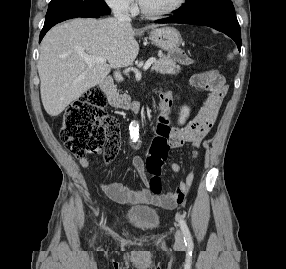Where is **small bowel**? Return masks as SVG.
Masks as SVG:
<instances>
[{
  "instance_id": "obj_1",
  "label": "small bowel",
  "mask_w": 286,
  "mask_h": 269,
  "mask_svg": "<svg viewBox=\"0 0 286 269\" xmlns=\"http://www.w3.org/2000/svg\"><path fill=\"white\" fill-rule=\"evenodd\" d=\"M204 102V101H203ZM197 109V113L190 121L188 126L182 129H172L168 134V139L171 142L172 148H180L189 145L192 148V159L197 157V149L200 147L203 138L213 128L219 110H202V105ZM172 106L171 93L166 91L162 94L160 103V111H167L169 113ZM80 165L87 168L90 165L88 159L83 158L80 160ZM133 166L144 185L148 184L146 176V166L144 159L140 156H135L133 159ZM170 169L173 172H179L181 166L178 163H171ZM194 180L193 169L186 175L185 179L180 183L177 190L165 195H154L147 188L145 189H132L116 182H108L106 180L100 181L102 190L113 200L121 203H134V204H152L166 209H175L180 206L183 201L181 199L182 193L186 194Z\"/></svg>"
}]
</instances>
